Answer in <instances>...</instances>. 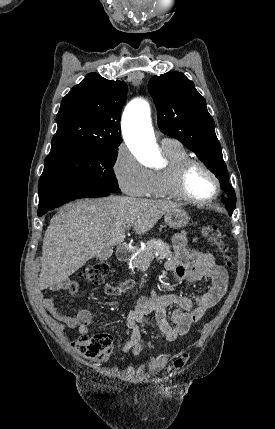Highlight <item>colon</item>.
<instances>
[{
  "label": "colon",
  "mask_w": 275,
  "mask_h": 429,
  "mask_svg": "<svg viewBox=\"0 0 275 429\" xmlns=\"http://www.w3.org/2000/svg\"><path fill=\"white\" fill-rule=\"evenodd\" d=\"M202 234L220 254L223 264L226 267H231L232 259L230 251L224 241L221 229L215 224H206L202 227ZM108 273L109 267L107 264L95 263L85 266L81 271V277L93 285H99L104 281ZM72 345L83 358L89 361L102 363L105 362L111 354L113 340L110 335L99 333L92 336H80ZM188 361L189 355L187 353H181L169 366V370L172 372H179L186 366Z\"/></svg>",
  "instance_id": "5ec220e1"
}]
</instances>
